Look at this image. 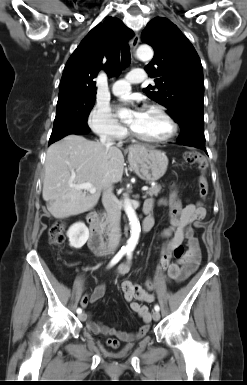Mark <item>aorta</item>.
Segmentation results:
<instances>
[{"instance_id":"aorta-1","label":"aorta","mask_w":247,"mask_h":385,"mask_svg":"<svg viewBox=\"0 0 247 385\" xmlns=\"http://www.w3.org/2000/svg\"><path fill=\"white\" fill-rule=\"evenodd\" d=\"M136 55L140 60L148 61L153 57V50L148 45H141L137 49ZM125 213L129 219L130 238L128 239L124 249L127 251H133L138 243L141 227L136 212L128 199L125 201Z\"/></svg>"}]
</instances>
